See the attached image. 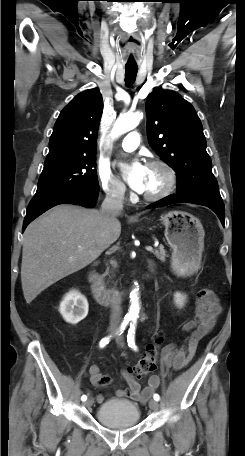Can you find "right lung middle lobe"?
Masks as SVG:
<instances>
[{
  "label": "right lung middle lobe",
  "instance_id": "dd1d6c3e",
  "mask_svg": "<svg viewBox=\"0 0 245 456\" xmlns=\"http://www.w3.org/2000/svg\"><path fill=\"white\" fill-rule=\"evenodd\" d=\"M95 167V155L45 164L33 199L65 192L99 190Z\"/></svg>",
  "mask_w": 245,
  "mask_h": 456
}]
</instances>
